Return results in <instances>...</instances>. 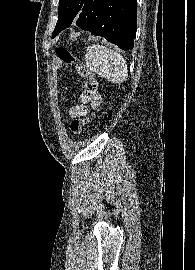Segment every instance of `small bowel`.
<instances>
[{"instance_id":"small-bowel-1","label":"small bowel","mask_w":195,"mask_h":270,"mask_svg":"<svg viewBox=\"0 0 195 270\" xmlns=\"http://www.w3.org/2000/svg\"><path fill=\"white\" fill-rule=\"evenodd\" d=\"M81 101H82L81 104L73 106L69 110V115L72 118H77L86 115L88 109L86 104L90 102L95 106L98 105L100 102V96L95 91L87 90L82 94Z\"/></svg>"}]
</instances>
